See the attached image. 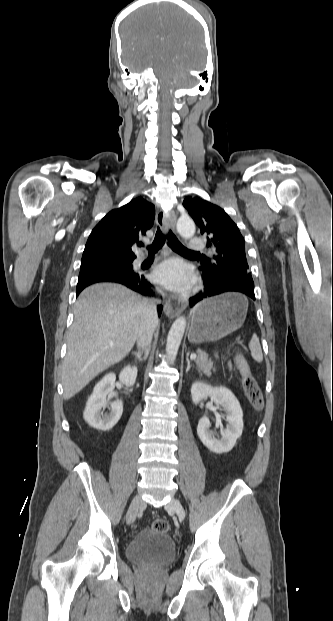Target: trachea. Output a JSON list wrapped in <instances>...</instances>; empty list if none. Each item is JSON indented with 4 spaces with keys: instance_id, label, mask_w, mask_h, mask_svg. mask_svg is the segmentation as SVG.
<instances>
[{
    "instance_id": "3493384b",
    "label": "trachea",
    "mask_w": 333,
    "mask_h": 621,
    "mask_svg": "<svg viewBox=\"0 0 333 621\" xmlns=\"http://www.w3.org/2000/svg\"><path fill=\"white\" fill-rule=\"evenodd\" d=\"M167 239V243L168 246L179 253H186V254H198L200 255L199 252H194L191 251L189 249H187L186 247H184L179 240L176 238V236L173 234V232L171 230H169L168 234H163L162 231L160 230V228H157L156 234H155V238L154 241L152 243L151 246H148V252L149 254H154L156 253L159 249L162 248V246L165 243V240ZM139 246H142V244H139Z\"/></svg>"
}]
</instances>
